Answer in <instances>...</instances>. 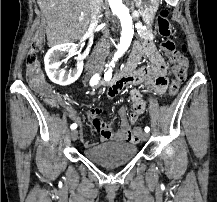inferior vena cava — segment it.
Returning a JSON list of instances; mask_svg holds the SVG:
<instances>
[{
  "mask_svg": "<svg viewBox=\"0 0 217 202\" xmlns=\"http://www.w3.org/2000/svg\"><path fill=\"white\" fill-rule=\"evenodd\" d=\"M103 0H89V10L91 14V22L92 20H97L98 14L101 10ZM109 32L105 30L104 36L102 38V42L98 44L97 48H95L92 56L94 58H107L109 56V46H108V38Z\"/></svg>",
  "mask_w": 217,
  "mask_h": 202,
  "instance_id": "obj_1",
  "label": "inferior vena cava"
}]
</instances>
